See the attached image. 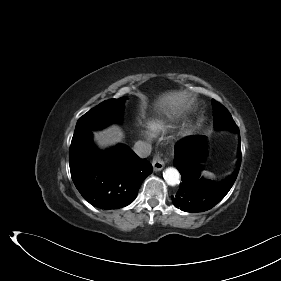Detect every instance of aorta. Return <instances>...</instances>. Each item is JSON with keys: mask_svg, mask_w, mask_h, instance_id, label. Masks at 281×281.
<instances>
[{"mask_svg": "<svg viewBox=\"0 0 281 281\" xmlns=\"http://www.w3.org/2000/svg\"><path fill=\"white\" fill-rule=\"evenodd\" d=\"M163 177L166 183L170 186H175L180 182V173L173 167L166 168L163 172Z\"/></svg>", "mask_w": 281, "mask_h": 281, "instance_id": "762f6f07", "label": "aorta"}]
</instances>
